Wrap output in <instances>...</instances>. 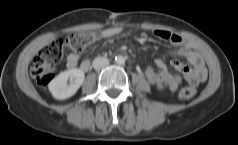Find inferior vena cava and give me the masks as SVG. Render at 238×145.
Here are the masks:
<instances>
[{"instance_id":"602c4592","label":"inferior vena cava","mask_w":238,"mask_h":145,"mask_svg":"<svg viewBox=\"0 0 238 145\" xmlns=\"http://www.w3.org/2000/svg\"><path fill=\"white\" fill-rule=\"evenodd\" d=\"M108 64H109V60L106 57H96L92 62V66L95 70L102 69Z\"/></svg>"}]
</instances>
